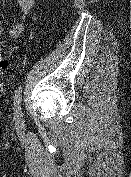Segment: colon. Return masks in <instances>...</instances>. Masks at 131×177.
I'll return each instance as SVG.
<instances>
[{
	"instance_id": "1",
	"label": "colon",
	"mask_w": 131,
	"mask_h": 177,
	"mask_svg": "<svg viewBox=\"0 0 131 177\" xmlns=\"http://www.w3.org/2000/svg\"><path fill=\"white\" fill-rule=\"evenodd\" d=\"M8 66H9V64H8L7 60L3 57L2 49L0 47V72L7 70Z\"/></svg>"
}]
</instances>
